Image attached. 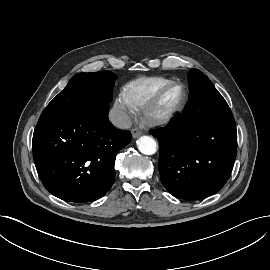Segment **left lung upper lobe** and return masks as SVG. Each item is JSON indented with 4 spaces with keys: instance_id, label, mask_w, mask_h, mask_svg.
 <instances>
[{
    "instance_id": "obj_1",
    "label": "left lung upper lobe",
    "mask_w": 270,
    "mask_h": 270,
    "mask_svg": "<svg viewBox=\"0 0 270 270\" xmlns=\"http://www.w3.org/2000/svg\"><path fill=\"white\" fill-rule=\"evenodd\" d=\"M188 81V102L193 105L200 118L211 120L233 117L227 102L203 72L197 69L190 70Z\"/></svg>"
}]
</instances>
